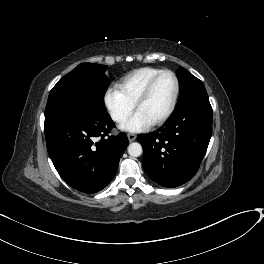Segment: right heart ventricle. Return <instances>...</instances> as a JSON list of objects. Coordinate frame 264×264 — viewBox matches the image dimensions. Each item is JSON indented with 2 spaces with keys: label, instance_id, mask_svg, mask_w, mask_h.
<instances>
[{
  "label": "right heart ventricle",
  "instance_id": "1",
  "mask_svg": "<svg viewBox=\"0 0 264 264\" xmlns=\"http://www.w3.org/2000/svg\"><path fill=\"white\" fill-rule=\"evenodd\" d=\"M162 69L143 67L126 74L118 84L124 95L135 104L149 80Z\"/></svg>",
  "mask_w": 264,
  "mask_h": 264
}]
</instances>
